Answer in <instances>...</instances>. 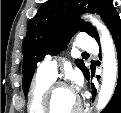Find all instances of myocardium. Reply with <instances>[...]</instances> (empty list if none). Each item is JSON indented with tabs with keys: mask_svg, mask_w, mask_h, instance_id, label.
I'll use <instances>...</instances> for the list:
<instances>
[{
	"mask_svg": "<svg viewBox=\"0 0 121 113\" xmlns=\"http://www.w3.org/2000/svg\"><path fill=\"white\" fill-rule=\"evenodd\" d=\"M60 88H69V86L62 81H58L55 83H52L45 91V109L48 111L47 113H54L53 107H54V93L60 89ZM83 109V103L81 98L78 96V105L77 107L70 111V113H76L78 111H81Z\"/></svg>",
	"mask_w": 121,
	"mask_h": 113,
	"instance_id": "f54148a6",
	"label": "myocardium"
}]
</instances>
